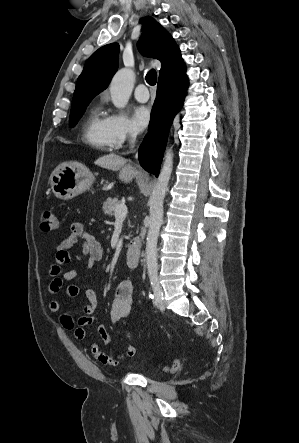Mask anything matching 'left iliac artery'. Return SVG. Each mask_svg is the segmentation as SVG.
Returning <instances> with one entry per match:
<instances>
[{
	"label": "left iliac artery",
	"instance_id": "obj_1",
	"mask_svg": "<svg viewBox=\"0 0 299 443\" xmlns=\"http://www.w3.org/2000/svg\"><path fill=\"white\" fill-rule=\"evenodd\" d=\"M149 278H150V282L153 288V292H154V297H152L154 299V303L155 305H158L159 302L161 300H163V294L161 292V287L159 284V280H158V274L156 271L150 272L149 273Z\"/></svg>",
	"mask_w": 299,
	"mask_h": 443
}]
</instances>
